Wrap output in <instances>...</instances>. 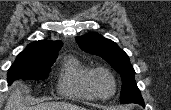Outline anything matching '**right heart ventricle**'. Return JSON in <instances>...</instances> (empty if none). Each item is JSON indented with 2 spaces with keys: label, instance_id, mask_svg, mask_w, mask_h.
I'll return each instance as SVG.
<instances>
[{
  "label": "right heart ventricle",
  "instance_id": "1",
  "mask_svg": "<svg viewBox=\"0 0 171 110\" xmlns=\"http://www.w3.org/2000/svg\"><path fill=\"white\" fill-rule=\"evenodd\" d=\"M91 69L76 57L65 59L58 79V91L61 95L79 99L94 100L88 85Z\"/></svg>",
  "mask_w": 171,
  "mask_h": 110
}]
</instances>
